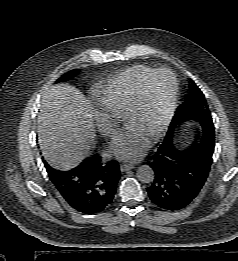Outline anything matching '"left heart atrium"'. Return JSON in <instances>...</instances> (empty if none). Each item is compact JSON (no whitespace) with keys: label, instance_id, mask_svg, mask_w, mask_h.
Instances as JSON below:
<instances>
[{"label":"left heart atrium","instance_id":"left-heart-atrium-1","mask_svg":"<svg viewBox=\"0 0 238 261\" xmlns=\"http://www.w3.org/2000/svg\"><path fill=\"white\" fill-rule=\"evenodd\" d=\"M150 138L151 135L129 124L112 139L110 151L122 160L138 161L149 147Z\"/></svg>","mask_w":238,"mask_h":261}]
</instances>
